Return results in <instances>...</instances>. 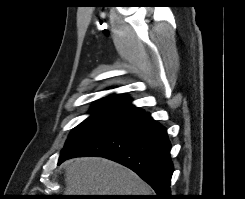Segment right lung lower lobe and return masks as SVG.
I'll return each instance as SVG.
<instances>
[{"label": "right lung lower lobe", "mask_w": 245, "mask_h": 199, "mask_svg": "<svg viewBox=\"0 0 245 199\" xmlns=\"http://www.w3.org/2000/svg\"><path fill=\"white\" fill-rule=\"evenodd\" d=\"M170 149L166 128L143 111L125 118L91 144L61 157L59 164L73 157H104L137 173L157 193L154 199H172Z\"/></svg>", "instance_id": "obj_1"}]
</instances>
